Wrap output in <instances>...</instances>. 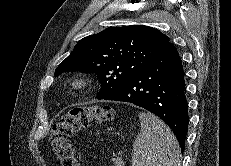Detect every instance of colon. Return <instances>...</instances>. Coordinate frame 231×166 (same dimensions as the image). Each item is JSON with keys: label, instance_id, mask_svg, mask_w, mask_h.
Instances as JSON below:
<instances>
[{"label": "colon", "instance_id": "obj_1", "mask_svg": "<svg viewBox=\"0 0 231 166\" xmlns=\"http://www.w3.org/2000/svg\"><path fill=\"white\" fill-rule=\"evenodd\" d=\"M113 118V110L108 105L74 107L54 124L51 147L62 166H80V155L71 144V136L91 122H106Z\"/></svg>", "mask_w": 231, "mask_h": 166}]
</instances>
